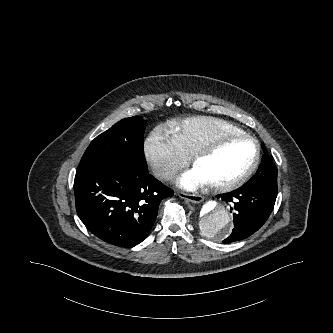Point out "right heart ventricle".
I'll return each mask as SVG.
<instances>
[{
	"mask_svg": "<svg viewBox=\"0 0 333 333\" xmlns=\"http://www.w3.org/2000/svg\"><path fill=\"white\" fill-rule=\"evenodd\" d=\"M169 133L188 157L201 145L223 133H245L239 127L219 118L191 116L172 121Z\"/></svg>",
	"mask_w": 333,
	"mask_h": 333,
	"instance_id": "1",
	"label": "right heart ventricle"
}]
</instances>
